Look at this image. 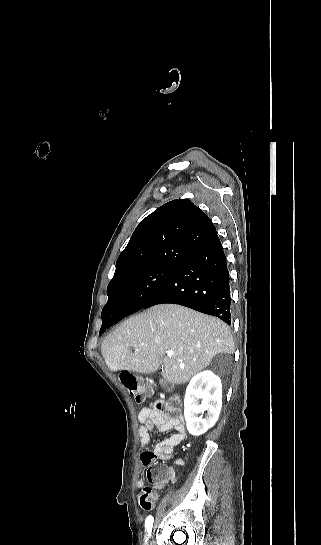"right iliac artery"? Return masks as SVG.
Returning <instances> with one entry per match:
<instances>
[{"instance_id": "1", "label": "right iliac artery", "mask_w": 321, "mask_h": 545, "mask_svg": "<svg viewBox=\"0 0 321 545\" xmlns=\"http://www.w3.org/2000/svg\"><path fill=\"white\" fill-rule=\"evenodd\" d=\"M153 521H154L153 516H148L145 520V527H146V531L148 535L151 534Z\"/></svg>"}]
</instances>
